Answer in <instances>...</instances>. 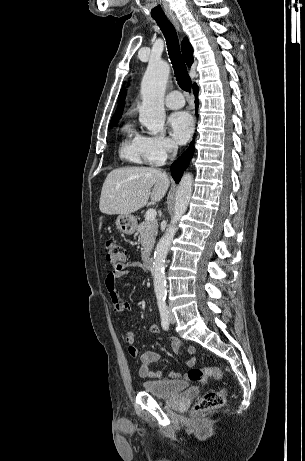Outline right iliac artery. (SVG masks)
Returning <instances> with one entry per match:
<instances>
[{"mask_svg": "<svg viewBox=\"0 0 305 461\" xmlns=\"http://www.w3.org/2000/svg\"><path fill=\"white\" fill-rule=\"evenodd\" d=\"M166 297H158V307H159V312H160V317H161V325L164 330L169 329V315H168V309L166 305Z\"/></svg>", "mask_w": 305, "mask_h": 461, "instance_id": "right-iliac-artery-1", "label": "right iliac artery"}]
</instances>
